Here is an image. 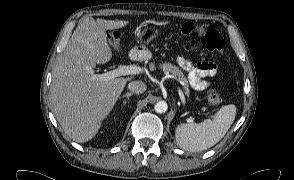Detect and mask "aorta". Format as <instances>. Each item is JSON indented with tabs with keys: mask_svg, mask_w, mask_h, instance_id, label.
<instances>
[{
	"mask_svg": "<svg viewBox=\"0 0 294 180\" xmlns=\"http://www.w3.org/2000/svg\"><path fill=\"white\" fill-rule=\"evenodd\" d=\"M167 109H168V105L164 101H160L155 105V111L157 113H164L167 111Z\"/></svg>",
	"mask_w": 294,
	"mask_h": 180,
	"instance_id": "aorta-1",
	"label": "aorta"
}]
</instances>
